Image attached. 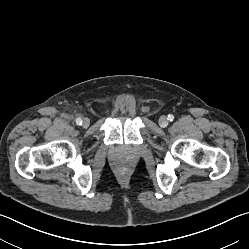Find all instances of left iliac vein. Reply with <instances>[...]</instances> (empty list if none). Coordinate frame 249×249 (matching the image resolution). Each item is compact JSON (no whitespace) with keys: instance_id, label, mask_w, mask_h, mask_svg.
<instances>
[{"instance_id":"4c4485c4","label":"left iliac vein","mask_w":249,"mask_h":249,"mask_svg":"<svg viewBox=\"0 0 249 249\" xmlns=\"http://www.w3.org/2000/svg\"><path fill=\"white\" fill-rule=\"evenodd\" d=\"M158 122L161 127H166L168 125V119L166 116H161Z\"/></svg>"}]
</instances>
